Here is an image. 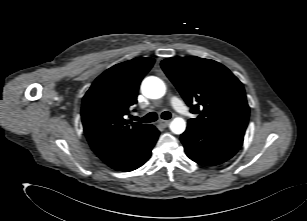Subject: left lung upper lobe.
<instances>
[{
    "label": "left lung upper lobe",
    "mask_w": 307,
    "mask_h": 221,
    "mask_svg": "<svg viewBox=\"0 0 307 221\" xmlns=\"http://www.w3.org/2000/svg\"><path fill=\"white\" fill-rule=\"evenodd\" d=\"M161 67L176 86L202 129L244 136L249 106L243 84L222 64L195 56L173 57Z\"/></svg>",
    "instance_id": "5c2ea615"
}]
</instances>
